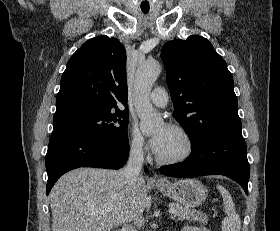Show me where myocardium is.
<instances>
[{"instance_id":"obj_1","label":"myocardium","mask_w":280,"mask_h":231,"mask_svg":"<svg viewBox=\"0 0 280 231\" xmlns=\"http://www.w3.org/2000/svg\"><path fill=\"white\" fill-rule=\"evenodd\" d=\"M170 128L184 139L186 143V149L183 153L175 155L173 157L167 158L161 155H157V160L163 165H177L183 163L190 159L195 152V141L190 131L179 125H170Z\"/></svg>"}]
</instances>
